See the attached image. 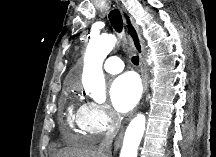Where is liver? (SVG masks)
Segmentation results:
<instances>
[{
  "label": "liver",
  "mask_w": 216,
  "mask_h": 157,
  "mask_svg": "<svg viewBox=\"0 0 216 157\" xmlns=\"http://www.w3.org/2000/svg\"><path fill=\"white\" fill-rule=\"evenodd\" d=\"M57 157H101L98 149L90 147H72L60 151Z\"/></svg>",
  "instance_id": "6515ba94"
}]
</instances>
